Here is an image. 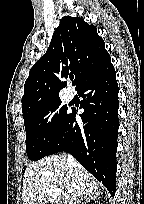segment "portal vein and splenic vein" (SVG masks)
Returning <instances> with one entry per match:
<instances>
[{
    "label": "portal vein and splenic vein",
    "instance_id": "1",
    "mask_svg": "<svg viewBox=\"0 0 144 204\" xmlns=\"http://www.w3.org/2000/svg\"><path fill=\"white\" fill-rule=\"evenodd\" d=\"M47 193L52 198H57L58 196L61 195V190L57 187L51 186V187L47 188Z\"/></svg>",
    "mask_w": 144,
    "mask_h": 204
}]
</instances>
